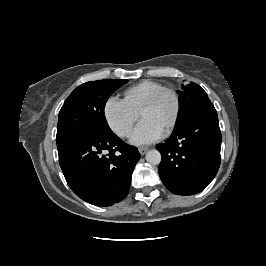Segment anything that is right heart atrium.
<instances>
[{
	"mask_svg": "<svg viewBox=\"0 0 266 266\" xmlns=\"http://www.w3.org/2000/svg\"><path fill=\"white\" fill-rule=\"evenodd\" d=\"M104 118L110 129L119 137L130 135L139 113L124 99L109 97L104 104Z\"/></svg>",
	"mask_w": 266,
	"mask_h": 266,
	"instance_id": "right-heart-atrium-1",
	"label": "right heart atrium"
}]
</instances>
